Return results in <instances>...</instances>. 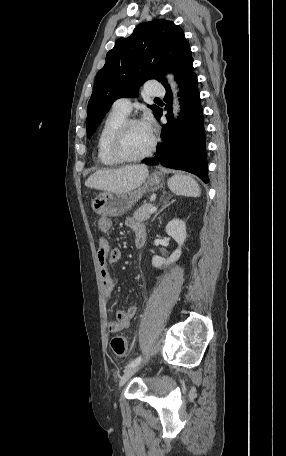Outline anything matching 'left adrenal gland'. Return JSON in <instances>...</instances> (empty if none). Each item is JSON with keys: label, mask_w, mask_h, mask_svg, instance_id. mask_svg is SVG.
<instances>
[{"label": "left adrenal gland", "mask_w": 286, "mask_h": 456, "mask_svg": "<svg viewBox=\"0 0 286 456\" xmlns=\"http://www.w3.org/2000/svg\"><path fill=\"white\" fill-rule=\"evenodd\" d=\"M169 198L166 199V201H162L164 202V205L163 207L154 215L153 219H152V222L155 220V218L166 208L168 207L171 203H173L175 200L171 201V202H168Z\"/></svg>", "instance_id": "obj_1"}]
</instances>
